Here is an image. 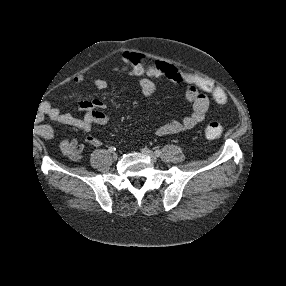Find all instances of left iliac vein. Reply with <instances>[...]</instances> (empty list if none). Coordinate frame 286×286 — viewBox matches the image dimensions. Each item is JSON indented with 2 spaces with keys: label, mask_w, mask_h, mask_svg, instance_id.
Wrapping results in <instances>:
<instances>
[{
  "label": "left iliac vein",
  "mask_w": 286,
  "mask_h": 286,
  "mask_svg": "<svg viewBox=\"0 0 286 286\" xmlns=\"http://www.w3.org/2000/svg\"><path fill=\"white\" fill-rule=\"evenodd\" d=\"M141 152L148 156L152 162H156L158 159L157 155L148 148H142Z\"/></svg>",
  "instance_id": "obj_1"
}]
</instances>
